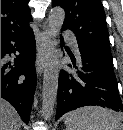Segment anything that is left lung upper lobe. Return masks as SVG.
Here are the masks:
<instances>
[{
  "label": "left lung upper lobe",
  "instance_id": "obj_1",
  "mask_svg": "<svg viewBox=\"0 0 123 130\" xmlns=\"http://www.w3.org/2000/svg\"><path fill=\"white\" fill-rule=\"evenodd\" d=\"M65 10L62 29L72 30L78 45L112 56L106 17L100 0H53Z\"/></svg>",
  "mask_w": 123,
  "mask_h": 130
}]
</instances>
